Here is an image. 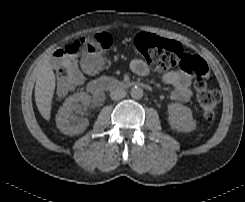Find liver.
<instances>
[{
  "mask_svg": "<svg viewBox=\"0 0 245 202\" xmlns=\"http://www.w3.org/2000/svg\"><path fill=\"white\" fill-rule=\"evenodd\" d=\"M55 74L48 62L39 67L35 84V101L40 114L45 120L50 119L52 99L55 90Z\"/></svg>",
  "mask_w": 245,
  "mask_h": 202,
  "instance_id": "1",
  "label": "liver"
}]
</instances>
